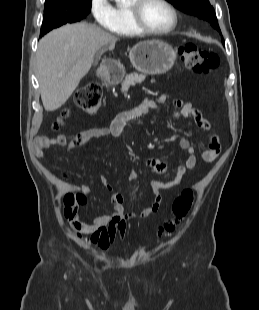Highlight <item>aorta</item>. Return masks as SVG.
Returning <instances> with one entry per match:
<instances>
[{
  "label": "aorta",
  "mask_w": 259,
  "mask_h": 310,
  "mask_svg": "<svg viewBox=\"0 0 259 310\" xmlns=\"http://www.w3.org/2000/svg\"><path fill=\"white\" fill-rule=\"evenodd\" d=\"M116 2H119L120 0H115Z\"/></svg>",
  "instance_id": "1"
}]
</instances>
